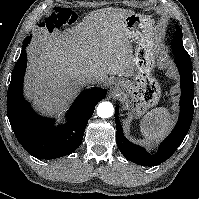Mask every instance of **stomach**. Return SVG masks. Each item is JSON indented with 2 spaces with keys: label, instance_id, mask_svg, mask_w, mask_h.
<instances>
[{
  "label": "stomach",
  "instance_id": "0dacf381",
  "mask_svg": "<svg viewBox=\"0 0 199 199\" xmlns=\"http://www.w3.org/2000/svg\"><path fill=\"white\" fill-rule=\"evenodd\" d=\"M125 32L136 44L133 55L134 74L131 80L119 79L121 92L127 98L131 113L140 117L160 100L161 87L151 71L156 59L153 21L146 15L133 13L124 21Z\"/></svg>",
  "mask_w": 199,
  "mask_h": 199
}]
</instances>
